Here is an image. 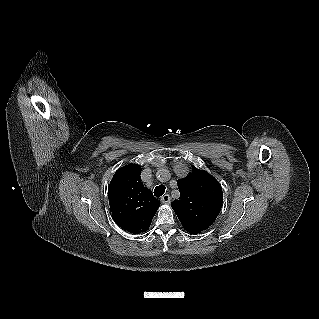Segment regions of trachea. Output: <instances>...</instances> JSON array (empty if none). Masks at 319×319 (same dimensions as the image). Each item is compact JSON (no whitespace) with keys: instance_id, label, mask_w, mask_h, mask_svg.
<instances>
[{"instance_id":"obj_1","label":"trachea","mask_w":319,"mask_h":319,"mask_svg":"<svg viewBox=\"0 0 319 319\" xmlns=\"http://www.w3.org/2000/svg\"><path fill=\"white\" fill-rule=\"evenodd\" d=\"M165 186L164 185H159V186H157V187H155V189H154V195L156 196V197H161L163 194H164V192H165Z\"/></svg>"}]
</instances>
